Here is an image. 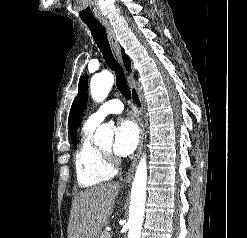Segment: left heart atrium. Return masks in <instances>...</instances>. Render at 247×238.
I'll list each match as a JSON object with an SVG mask.
<instances>
[{"mask_svg":"<svg viewBox=\"0 0 247 238\" xmlns=\"http://www.w3.org/2000/svg\"><path fill=\"white\" fill-rule=\"evenodd\" d=\"M139 133L136 124L129 119L118 121L115 129L114 151L119 156L133 152L138 143Z\"/></svg>","mask_w":247,"mask_h":238,"instance_id":"39dd6f15","label":"left heart atrium"}]
</instances>
